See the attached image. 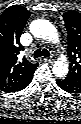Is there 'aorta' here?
I'll return each mask as SVG.
<instances>
[{
  "label": "aorta",
  "instance_id": "aorta-1",
  "mask_svg": "<svg viewBox=\"0 0 81 124\" xmlns=\"http://www.w3.org/2000/svg\"><path fill=\"white\" fill-rule=\"evenodd\" d=\"M30 32L35 37L49 41L57 40L59 37L55 26L51 22L44 19L34 20L30 24ZM53 73L59 78L65 77L67 75L68 63L65 57H62L53 65Z\"/></svg>",
  "mask_w": 81,
  "mask_h": 124
}]
</instances>
